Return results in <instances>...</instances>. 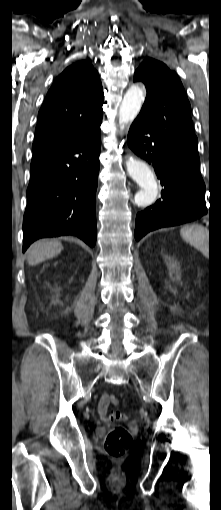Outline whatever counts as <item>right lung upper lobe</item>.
Listing matches in <instances>:
<instances>
[{
  "label": "right lung upper lobe",
  "instance_id": "right-lung-upper-lobe-1",
  "mask_svg": "<svg viewBox=\"0 0 221 510\" xmlns=\"http://www.w3.org/2000/svg\"><path fill=\"white\" fill-rule=\"evenodd\" d=\"M104 94L98 72L83 60L54 81L38 113L33 151L82 134L102 121Z\"/></svg>",
  "mask_w": 221,
  "mask_h": 510
}]
</instances>
